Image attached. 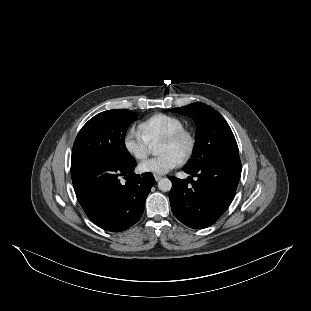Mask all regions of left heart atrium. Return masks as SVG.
<instances>
[{"label":"left heart atrium","instance_id":"obj_1","mask_svg":"<svg viewBox=\"0 0 311 311\" xmlns=\"http://www.w3.org/2000/svg\"><path fill=\"white\" fill-rule=\"evenodd\" d=\"M181 164V158L174 152H166L155 158L144 161L139 170L146 174L165 175Z\"/></svg>","mask_w":311,"mask_h":311}]
</instances>
